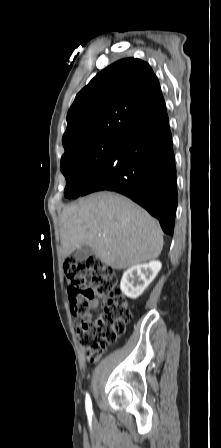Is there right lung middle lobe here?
<instances>
[{
    "label": "right lung middle lobe",
    "instance_id": "1",
    "mask_svg": "<svg viewBox=\"0 0 221 448\" xmlns=\"http://www.w3.org/2000/svg\"><path fill=\"white\" fill-rule=\"evenodd\" d=\"M118 137L100 139L74 147L61 158V171L66 178L64 196L77 198L102 166Z\"/></svg>",
    "mask_w": 221,
    "mask_h": 448
}]
</instances>
